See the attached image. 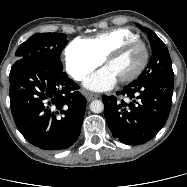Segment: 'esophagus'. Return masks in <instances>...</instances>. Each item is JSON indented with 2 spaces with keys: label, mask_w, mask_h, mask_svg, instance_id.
Listing matches in <instances>:
<instances>
[{
  "label": "esophagus",
  "mask_w": 187,
  "mask_h": 187,
  "mask_svg": "<svg viewBox=\"0 0 187 187\" xmlns=\"http://www.w3.org/2000/svg\"><path fill=\"white\" fill-rule=\"evenodd\" d=\"M82 93L87 98L88 101H92V100L99 97L98 94L91 93V92H88V91H83Z\"/></svg>",
  "instance_id": "obj_1"
}]
</instances>
